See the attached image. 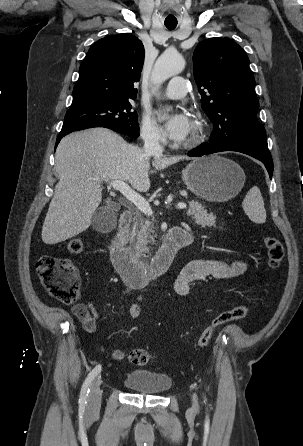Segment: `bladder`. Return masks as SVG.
I'll use <instances>...</instances> for the list:
<instances>
[{"label":"bladder","instance_id":"1","mask_svg":"<svg viewBox=\"0 0 303 446\" xmlns=\"http://www.w3.org/2000/svg\"><path fill=\"white\" fill-rule=\"evenodd\" d=\"M124 386L140 393L163 394L171 389L172 379L168 374L162 372L135 369L126 375Z\"/></svg>","mask_w":303,"mask_h":446}]
</instances>
